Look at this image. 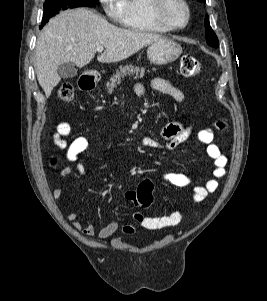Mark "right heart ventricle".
Masks as SVG:
<instances>
[{"label":"right heart ventricle","instance_id":"right-heart-ventricle-1","mask_svg":"<svg viewBox=\"0 0 267 301\" xmlns=\"http://www.w3.org/2000/svg\"><path fill=\"white\" fill-rule=\"evenodd\" d=\"M154 0H124L123 26L138 32L166 33L170 31L154 16Z\"/></svg>","mask_w":267,"mask_h":301}]
</instances>
